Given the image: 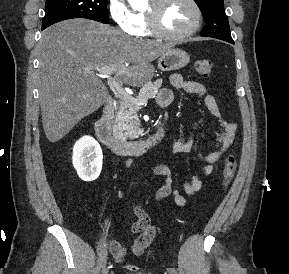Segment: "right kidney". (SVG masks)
I'll use <instances>...</instances> for the list:
<instances>
[{
	"mask_svg": "<svg viewBox=\"0 0 289 274\" xmlns=\"http://www.w3.org/2000/svg\"><path fill=\"white\" fill-rule=\"evenodd\" d=\"M102 161V149L94 138L84 136L75 143L72 163L80 179L96 180L102 170Z\"/></svg>",
	"mask_w": 289,
	"mask_h": 274,
	"instance_id": "obj_1",
	"label": "right kidney"
}]
</instances>
